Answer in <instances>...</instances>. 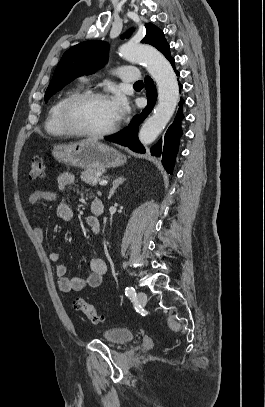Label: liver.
<instances>
[{
  "mask_svg": "<svg viewBox=\"0 0 265 407\" xmlns=\"http://www.w3.org/2000/svg\"><path fill=\"white\" fill-rule=\"evenodd\" d=\"M84 141H93V140H91V139H88V140H84Z\"/></svg>",
  "mask_w": 265,
  "mask_h": 407,
  "instance_id": "liver-1",
  "label": "liver"
}]
</instances>
